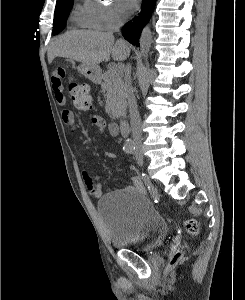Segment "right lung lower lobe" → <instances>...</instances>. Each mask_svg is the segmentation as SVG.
<instances>
[{
	"label": "right lung lower lobe",
	"instance_id": "1",
	"mask_svg": "<svg viewBox=\"0 0 245 300\" xmlns=\"http://www.w3.org/2000/svg\"><path fill=\"white\" fill-rule=\"evenodd\" d=\"M155 7V0H143L141 11L132 21H129L122 28L124 38L131 44L139 46V38L145 24L150 19Z\"/></svg>",
	"mask_w": 245,
	"mask_h": 300
}]
</instances>
